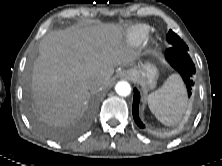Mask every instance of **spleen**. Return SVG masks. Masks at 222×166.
I'll use <instances>...</instances> for the list:
<instances>
[{
  "label": "spleen",
  "instance_id": "obj_1",
  "mask_svg": "<svg viewBox=\"0 0 222 166\" xmlns=\"http://www.w3.org/2000/svg\"><path fill=\"white\" fill-rule=\"evenodd\" d=\"M185 87L177 74H172L164 84L147 97L154 116L164 125H174L182 118L186 108Z\"/></svg>",
  "mask_w": 222,
  "mask_h": 166
}]
</instances>
